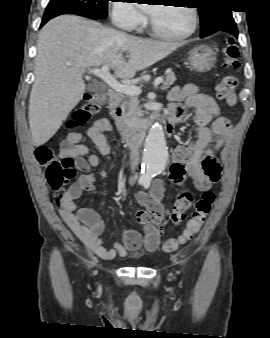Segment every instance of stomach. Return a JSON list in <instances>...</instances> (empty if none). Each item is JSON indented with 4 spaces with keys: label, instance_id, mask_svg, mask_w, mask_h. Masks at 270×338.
I'll return each instance as SVG.
<instances>
[{
    "label": "stomach",
    "instance_id": "obj_1",
    "mask_svg": "<svg viewBox=\"0 0 270 338\" xmlns=\"http://www.w3.org/2000/svg\"><path fill=\"white\" fill-rule=\"evenodd\" d=\"M216 56L213 50L205 45L192 49L188 58V67L192 71L205 73L210 71L215 64Z\"/></svg>",
    "mask_w": 270,
    "mask_h": 338
}]
</instances>
